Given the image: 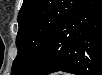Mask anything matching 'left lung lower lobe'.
I'll return each mask as SVG.
<instances>
[{
    "instance_id": "obj_1",
    "label": "left lung lower lobe",
    "mask_w": 102,
    "mask_h": 75,
    "mask_svg": "<svg viewBox=\"0 0 102 75\" xmlns=\"http://www.w3.org/2000/svg\"><path fill=\"white\" fill-rule=\"evenodd\" d=\"M102 73V2H83L50 35L29 75Z\"/></svg>"
}]
</instances>
